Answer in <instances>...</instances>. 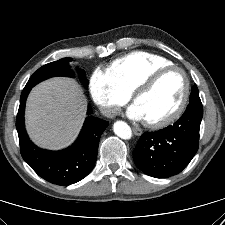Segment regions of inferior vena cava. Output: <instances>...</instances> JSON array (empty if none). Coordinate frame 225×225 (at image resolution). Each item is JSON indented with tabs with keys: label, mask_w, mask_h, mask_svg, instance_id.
Returning a JSON list of instances; mask_svg holds the SVG:
<instances>
[{
	"label": "inferior vena cava",
	"mask_w": 225,
	"mask_h": 225,
	"mask_svg": "<svg viewBox=\"0 0 225 225\" xmlns=\"http://www.w3.org/2000/svg\"><path fill=\"white\" fill-rule=\"evenodd\" d=\"M118 110H119L118 107H113V106L112 107H103L101 109V113L108 118H112L115 116V114L117 113Z\"/></svg>",
	"instance_id": "obj_1"
}]
</instances>
